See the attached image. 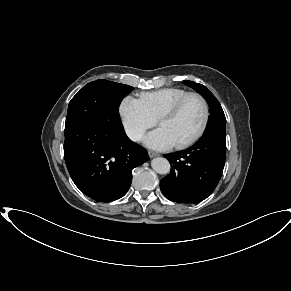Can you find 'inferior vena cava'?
<instances>
[{"label":"inferior vena cava","mask_w":291,"mask_h":291,"mask_svg":"<svg viewBox=\"0 0 291 291\" xmlns=\"http://www.w3.org/2000/svg\"><path fill=\"white\" fill-rule=\"evenodd\" d=\"M127 135L133 141L141 140L143 137V133L138 129H128Z\"/></svg>","instance_id":"inferior-vena-cava-1"}]
</instances>
